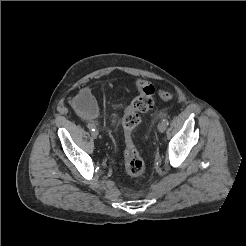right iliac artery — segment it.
Masks as SVG:
<instances>
[{
	"label": "right iliac artery",
	"mask_w": 246,
	"mask_h": 246,
	"mask_svg": "<svg viewBox=\"0 0 246 246\" xmlns=\"http://www.w3.org/2000/svg\"><path fill=\"white\" fill-rule=\"evenodd\" d=\"M87 127L91 130L94 131L95 130V126L93 124H88Z\"/></svg>",
	"instance_id": "right-iliac-artery-1"
}]
</instances>
